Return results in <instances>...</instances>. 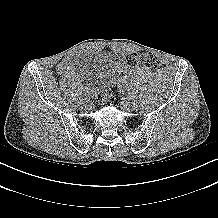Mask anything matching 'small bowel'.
<instances>
[{"label": "small bowel", "mask_w": 218, "mask_h": 218, "mask_svg": "<svg viewBox=\"0 0 218 218\" xmlns=\"http://www.w3.org/2000/svg\"><path fill=\"white\" fill-rule=\"evenodd\" d=\"M57 71L63 75H72L75 73V58L73 55L65 56L57 65Z\"/></svg>", "instance_id": "c3829d8e"}]
</instances>
